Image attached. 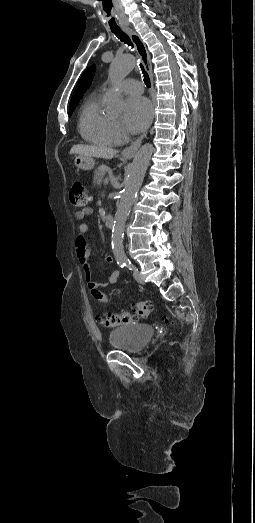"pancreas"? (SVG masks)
Listing matches in <instances>:
<instances>
[{
  "label": "pancreas",
  "mask_w": 255,
  "mask_h": 523,
  "mask_svg": "<svg viewBox=\"0 0 255 523\" xmlns=\"http://www.w3.org/2000/svg\"><path fill=\"white\" fill-rule=\"evenodd\" d=\"M106 172H110V168H107V166H99L94 172L93 184H102Z\"/></svg>",
  "instance_id": "cf45deb5"
}]
</instances>
